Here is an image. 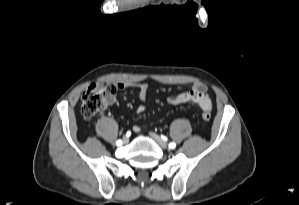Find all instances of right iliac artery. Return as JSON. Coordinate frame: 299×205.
<instances>
[{"mask_svg": "<svg viewBox=\"0 0 299 205\" xmlns=\"http://www.w3.org/2000/svg\"><path fill=\"white\" fill-rule=\"evenodd\" d=\"M116 144H117V145H121V144H122V140H117V141H116Z\"/></svg>", "mask_w": 299, "mask_h": 205, "instance_id": "82829eb1", "label": "right iliac artery"}]
</instances>
